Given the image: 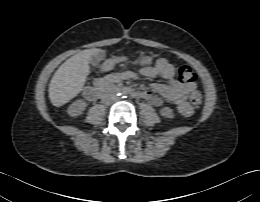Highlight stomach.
<instances>
[{
  "label": "stomach",
  "instance_id": "0dacf381",
  "mask_svg": "<svg viewBox=\"0 0 260 202\" xmlns=\"http://www.w3.org/2000/svg\"><path fill=\"white\" fill-rule=\"evenodd\" d=\"M138 64L141 66L150 65V64H152V58L150 56H143L138 59Z\"/></svg>",
  "mask_w": 260,
  "mask_h": 202
}]
</instances>
